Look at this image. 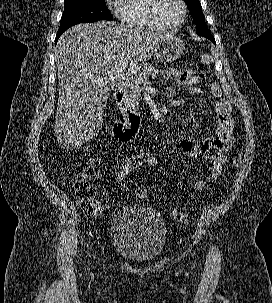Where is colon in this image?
Segmentation results:
<instances>
[{
    "label": "colon",
    "mask_w": 272,
    "mask_h": 303,
    "mask_svg": "<svg viewBox=\"0 0 272 303\" xmlns=\"http://www.w3.org/2000/svg\"><path fill=\"white\" fill-rule=\"evenodd\" d=\"M202 63L209 65L212 63L210 55L202 57ZM242 164V155L238 153L233 160V168L238 169ZM161 163L157 155L150 151L139 152L129 157L126 162L119 168L117 173V181L123 182L131 173L138 170H159ZM93 169L90 166L82 168L75 176L74 180V194L75 198L85 213L88 219H95L100 216L104 210L103 204L96 198V191L92 185ZM135 194L140 199L148 198L149 192L145 187H138ZM172 215L176 217L181 223H188L190 216L178 210H174Z\"/></svg>",
    "instance_id": "5ec220e1"
}]
</instances>
